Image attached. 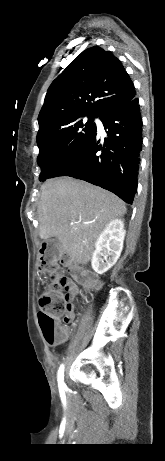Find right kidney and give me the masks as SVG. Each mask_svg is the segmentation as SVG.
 Here are the masks:
<instances>
[{
	"mask_svg": "<svg viewBox=\"0 0 165 461\" xmlns=\"http://www.w3.org/2000/svg\"><path fill=\"white\" fill-rule=\"evenodd\" d=\"M125 237L124 221L112 220L99 235L95 251L93 252L91 265L95 272L104 274L120 257Z\"/></svg>",
	"mask_w": 165,
	"mask_h": 461,
	"instance_id": "obj_1",
	"label": "right kidney"
}]
</instances>
